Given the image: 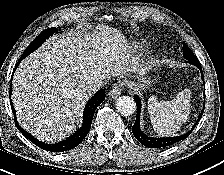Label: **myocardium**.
I'll return each mask as SVG.
<instances>
[{"instance_id":"1","label":"myocardium","mask_w":224,"mask_h":175,"mask_svg":"<svg viewBox=\"0 0 224 175\" xmlns=\"http://www.w3.org/2000/svg\"><path fill=\"white\" fill-rule=\"evenodd\" d=\"M154 61V59H151V62H153Z\"/></svg>"}]
</instances>
